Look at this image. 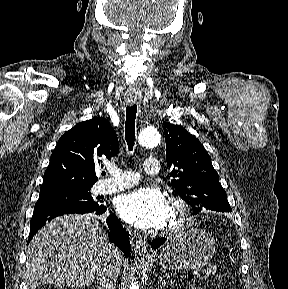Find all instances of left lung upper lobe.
<instances>
[{
	"label": "left lung upper lobe",
	"instance_id": "5c2ea615",
	"mask_svg": "<svg viewBox=\"0 0 288 289\" xmlns=\"http://www.w3.org/2000/svg\"><path fill=\"white\" fill-rule=\"evenodd\" d=\"M166 161L178 195L191 205L193 214L202 210L230 212L225 190L201 142L183 127L165 123Z\"/></svg>",
	"mask_w": 288,
	"mask_h": 289
}]
</instances>
